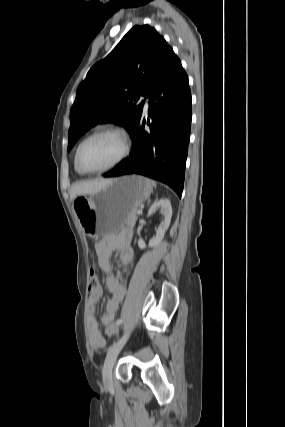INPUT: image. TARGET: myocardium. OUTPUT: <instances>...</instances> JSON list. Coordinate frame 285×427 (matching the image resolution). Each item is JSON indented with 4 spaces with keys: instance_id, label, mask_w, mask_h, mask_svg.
Segmentation results:
<instances>
[{
    "instance_id": "obj_1",
    "label": "myocardium",
    "mask_w": 285,
    "mask_h": 427,
    "mask_svg": "<svg viewBox=\"0 0 285 427\" xmlns=\"http://www.w3.org/2000/svg\"><path fill=\"white\" fill-rule=\"evenodd\" d=\"M105 133H112V134H116L118 135L122 140H123V150L122 153L120 154V156L111 164H109L106 167L100 168V169H96V170H88L85 169L82 164H81V151L83 149V147L85 146V144L87 142H89L91 139L101 135V134H105ZM131 150V140L129 135L121 128L118 127H113V126H107V127H103L101 129L96 130L95 132H93L92 134L88 135L78 146L77 150H76V154H75V161H76V165L78 167V169L84 173V174H98V173H104L107 172L115 167H117L119 164H121L129 155Z\"/></svg>"
}]
</instances>
